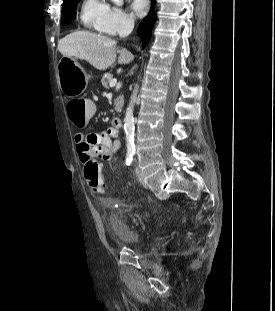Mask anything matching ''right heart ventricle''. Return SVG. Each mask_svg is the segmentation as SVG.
Returning <instances> with one entry per match:
<instances>
[{"instance_id":"1","label":"right heart ventricle","mask_w":275,"mask_h":311,"mask_svg":"<svg viewBox=\"0 0 275 311\" xmlns=\"http://www.w3.org/2000/svg\"><path fill=\"white\" fill-rule=\"evenodd\" d=\"M108 9L105 0H83L79 14L81 24L87 30L103 33L101 24Z\"/></svg>"}]
</instances>
